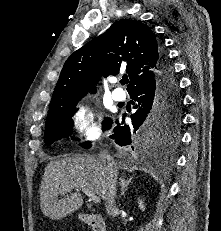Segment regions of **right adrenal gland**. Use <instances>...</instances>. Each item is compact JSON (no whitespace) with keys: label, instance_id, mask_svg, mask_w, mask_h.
I'll list each match as a JSON object with an SVG mask.
<instances>
[{"label":"right adrenal gland","instance_id":"2a0ac1e0","mask_svg":"<svg viewBox=\"0 0 221 231\" xmlns=\"http://www.w3.org/2000/svg\"><path fill=\"white\" fill-rule=\"evenodd\" d=\"M133 177H130L129 179L125 180L123 177L120 178V186H121V193L119 197L124 196L125 192L128 189L129 184L131 183Z\"/></svg>","mask_w":221,"mask_h":231}]
</instances>
